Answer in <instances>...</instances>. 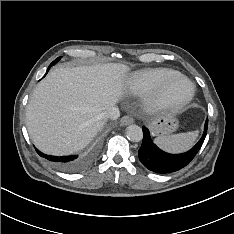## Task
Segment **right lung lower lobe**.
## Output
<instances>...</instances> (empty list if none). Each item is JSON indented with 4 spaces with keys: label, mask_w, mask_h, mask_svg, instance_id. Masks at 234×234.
Here are the masks:
<instances>
[{
    "label": "right lung lower lobe",
    "mask_w": 234,
    "mask_h": 234,
    "mask_svg": "<svg viewBox=\"0 0 234 234\" xmlns=\"http://www.w3.org/2000/svg\"><path fill=\"white\" fill-rule=\"evenodd\" d=\"M49 68L47 69V72ZM36 151L41 157L49 160L55 167L65 172H77L82 168H84L88 162V159L79 157L78 155L52 156V155H46L37 149Z\"/></svg>",
    "instance_id": "98d812e1"
}]
</instances>
